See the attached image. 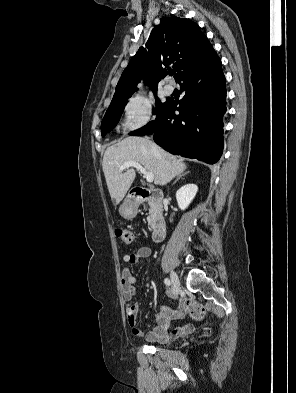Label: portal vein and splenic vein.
Returning a JSON list of instances; mask_svg holds the SVG:
<instances>
[{
    "label": "portal vein and splenic vein",
    "mask_w": 296,
    "mask_h": 393,
    "mask_svg": "<svg viewBox=\"0 0 296 393\" xmlns=\"http://www.w3.org/2000/svg\"><path fill=\"white\" fill-rule=\"evenodd\" d=\"M129 167H135L140 173H142L144 175V177L146 178L147 182H153V180H154L153 173L147 172L146 169L141 164H139L136 161L125 162L120 167V169L121 170H125V169H128Z\"/></svg>",
    "instance_id": "portal-vein-and-splenic-vein-1"
}]
</instances>
